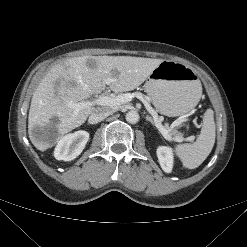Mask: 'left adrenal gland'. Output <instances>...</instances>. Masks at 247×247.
Wrapping results in <instances>:
<instances>
[{
	"instance_id": "obj_1",
	"label": "left adrenal gland",
	"mask_w": 247,
	"mask_h": 247,
	"mask_svg": "<svg viewBox=\"0 0 247 247\" xmlns=\"http://www.w3.org/2000/svg\"><path fill=\"white\" fill-rule=\"evenodd\" d=\"M146 120L151 122L152 125H155L153 119L149 115L146 116Z\"/></svg>"
}]
</instances>
